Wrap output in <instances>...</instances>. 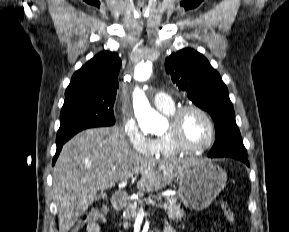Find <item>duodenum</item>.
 I'll use <instances>...</instances> for the list:
<instances>
[{"instance_id": "obj_1", "label": "duodenum", "mask_w": 289, "mask_h": 232, "mask_svg": "<svg viewBox=\"0 0 289 232\" xmlns=\"http://www.w3.org/2000/svg\"><path fill=\"white\" fill-rule=\"evenodd\" d=\"M113 207L122 210L128 204V196L124 191H116L112 198Z\"/></svg>"}]
</instances>
